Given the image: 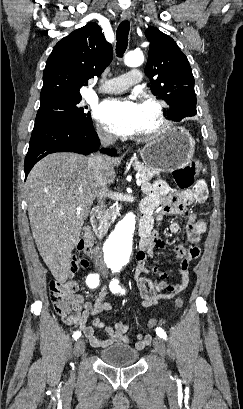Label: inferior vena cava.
<instances>
[{
    "instance_id": "inferior-vena-cava-1",
    "label": "inferior vena cava",
    "mask_w": 243,
    "mask_h": 409,
    "mask_svg": "<svg viewBox=\"0 0 243 409\" xmlns=\"http://www.w3.org/2000/svg\"><path fill=\"white\" fill-rule=\"evenodd\" d=\"M98 136L100 138L101 145L104 147L113 144L116 140L113 135L106 133L104 131H100V130L98 131ZM104 162H105V158L100 153L92 154L89 157V167L91 170V178L94 180L95 185L100 187V192L97 195V201H98L100 210L105 209L104 200H105L106 191H107L105 174H104ZM95 260L100 268L102 269L105 268V264L102 258L101 248L99 246H97L95 250Z\"/></svg>"
}]
</instances>
